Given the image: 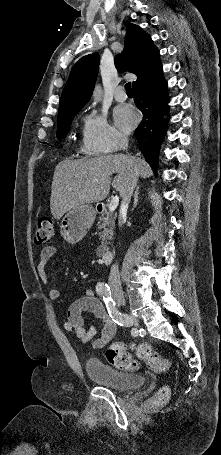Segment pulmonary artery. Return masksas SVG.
I'll return each mask as SVG.
<instances>
[{
    "label": "pulmonary artery",
    "mask_w": 221,
    "mask_h": 455,
    "mask_svg": "<svg viewBox=\"0 0 221 455\" xmlns=\"http://www.w3.org/2000/svg\"><path fill=\"white\" fill-rule=\"evenodd\" d=\"M114 98L118 102H124L127 99V95L122 86H118L114 91Z\"/></svg>",
    "instance_id": "e3ab8cb5"
}]
</instances>
